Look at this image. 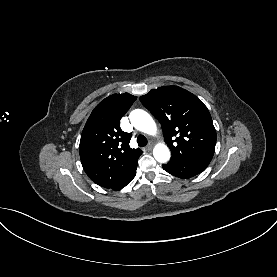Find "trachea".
I'll list each match as a JSON object with an SVG mask.
<instances>
[{
	"mask_svg": "<svg viewBox=\"0 0 277 277\" xmlns=\"http://www.w3.org/2000/svg\"><path fill=\"white\" fill-rule=\"evenodd\" d=\"M137 143L141 147L146 146L147 145V139H146V137L143 136V135H139L137 137Z\"/></svg>",
	"mask_w": 277,
	"mask_h": 277,
	"instance_id": "trachea-1",
	"label": "trachea"
}]
</instances>
